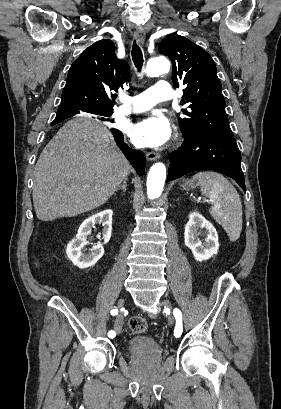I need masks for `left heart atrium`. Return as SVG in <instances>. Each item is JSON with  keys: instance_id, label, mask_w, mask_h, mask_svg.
<instances>
[{"instance_id": "1", "label": "left heart atrium", "mask_w": 281, "mask_h": 409, "mask_svg": "<svg viewBox=\"0 0 281 409\" xmlns=\"http://www.w3.org/2000/svg\"><path fill=\"white\" fill-rule=\"evenodd\" d=\"M131 136L140 147L158 148L170 140L171 126L165 117L152 115L134 124Z\"/></svg>"}]
</instances>
